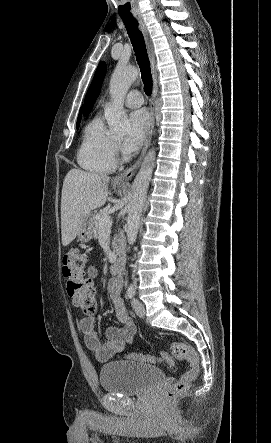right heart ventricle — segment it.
<instances>
[{"mask_svg": "<svg viewBox=\"0 0 271 443\" xmlns=\"http://www.w3.org/2000/svg\"><path fill=\"white\" fill-rule=\"evenodd\" d=\"M77 161L83 169L100 174L111 173L117 166L115 140L98 114L84 128Z\"/></svg>", "mask_w": 271, "mask_h": 443, "instance_id": "obj_1", "label": "right heart ventricle"}]
</instances>
